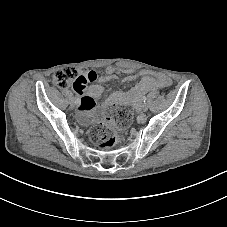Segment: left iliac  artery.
<instances>
[{
	"label": "left iliac artery",
	"mask_w": 227,
	"mask_h": 227,
	"mask_svg": "<svg viewBox=\"0 0 227 227\" xmlns=\"http://www.w3.org/2000/svg\"><path fill=\"white\" fill-rule=\"evenodd\" d=\"M142 101L146 102L147 101V97L146 96L142 97Z\"/></svg>",
	"instance_id": "44dca946"
}]
</instances>
